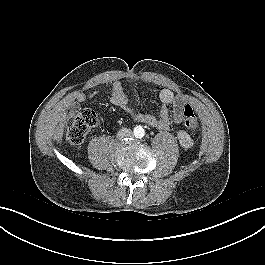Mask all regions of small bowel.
<instances>
[{
	"label": "small bowel",
	"instance_id": "small-bowel-1",
	"mask_svg": "<svg viewBox=\"0 0 265 265\" xmlns=\"http://www.w3.org/2000/svg\"><path fill=\"white\" fill-rule=\"evenodd\" d=\"M94 96H96L95 93L91 96L85 93H78L74 98L78 103H84L90 97ZM108 99L113 105L122 109L135 121L147 124L159 130H167L172 119L175 123L181 124L183 121V109L185 105H187L185 96L176 94L168 88H162L159 91L161 106L158 117L147 113L136 112L129 106L128 97L119 81H115L112 84L108 91ZM177 138L182 147L189 148L192 146V138L185 130H178Z\"/></svg>",
	"mask_w": 265,
	"mask_h": 265
}]
</instances>
